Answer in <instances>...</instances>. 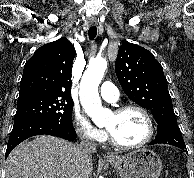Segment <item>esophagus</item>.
I'll use <instances>...</instances> for the list:
<instances>
[{
  "label": "esophagus",
  "instance_id": "34e87169",
  "mask_svg": "<svg viewBox=\"0 0 194 178\" xmlns=\"http://www.w3.org/2000/svg\"><path fill=\"white\" fill-rule=\"evenodd\" d=\"M96 24H97L96 21H91V22H90V25H92V26H94V25H96ZM105 157H106V158H111L112 155H111V154H106Z\"/></svg>",
  "mask_w": 194,
  "mask_h": 178
}]
</instances>
